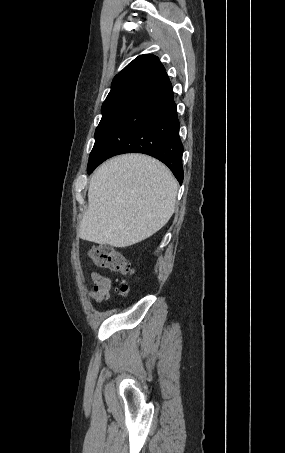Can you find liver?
Wrapping results in <instances>:
<instances>
[{
	"label": "liver",
	"instance_id": "obj_1",
	"mask_svg": "<svg viewBox=\"0 0 285 453\" xmlns=\"http://www.w3.org/2000/svg\"><path fill=\"white\" fill-rule=\"evenodd\" d=\"M177 182L169 169L143 154H125L103 163L88 188V208L78 236L124 248L160 230L174 213Z\"/></svg>",
	"mask_w": 285,
	"mask_h": 453
}]
</instances>
